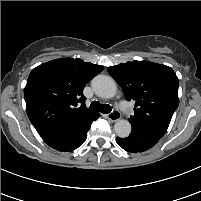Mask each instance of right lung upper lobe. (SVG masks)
I'll return each mask as SVG.
<instances>
[{
  "mask_svg": "<svg viewBox=\"0 0 201 201\" xmlns=\"http://www.w3.org/2000/svg\"><path fill=\"white\" fill-rule=\"evenodd\" d=\"M103 69L80 59L63 58L31 71L24 97L28 117L39 135L77 132L99 115L86 108L83 89Z\"/></svg>",
  "mask_w": 201,
  "mask_h": 201,
  "instance_id": "obj_1",
  "label": "right lung upper lobe"
}]
</instances>
